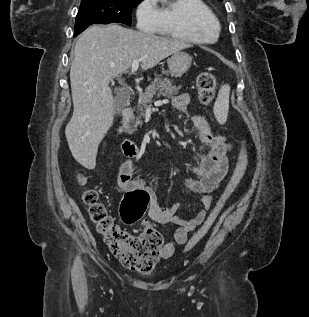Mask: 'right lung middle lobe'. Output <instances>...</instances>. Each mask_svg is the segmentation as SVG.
<instances>
[{
	"mask_svg": "<svg viewBox=\"0 0 309 317\" xmlns=\"http://www.w3.org/2000/svg\"><path fill=\"white\" fill-rule=\"evenodd\" d=\"M142 0H81L74 29L101 23L131 25V12Z\"/></svg>",
	"mask_w": 309,
	"mask_h": 317,
	"instance_id": "1",
	"label": "right lung middle lobe"
}]
</instances>
